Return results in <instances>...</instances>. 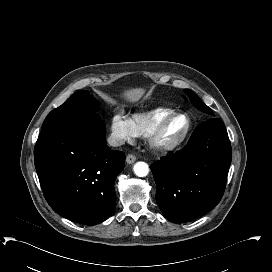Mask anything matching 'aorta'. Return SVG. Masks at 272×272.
Instances as JSON below:
<instances>
[{"instance_id":"obj_1","label":"aorta","mask_w":272,"mask_h":272,"mask_svg":"<svg viewBox=\"0 0 272 272\" xmlns=\"http://www.w3.org/2000/svg\"><path fill=\"white\" fill-rule=\"evenodd\" d=\"M133 170L138 177H145L149 173V167L145 162H137Z\"/></svg>"}]
</instances>
